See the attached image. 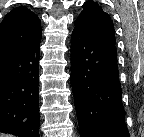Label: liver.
Segmentation results:
<instances>
[{
  "label": "liver",
  "mask_w": 144,
  "mask_h": 137,
  "mask_svg": "<svg viewBox=\"0 0 144 137\" xmlns=\"http://www.w3.org/2000/svg\"><path fill=\"white\" fill-rule=\"evenodd\" d=\"M0 137H10L7 134H0Z\"/></svg>",
  "instance_id": "1"
}]
</instances>
